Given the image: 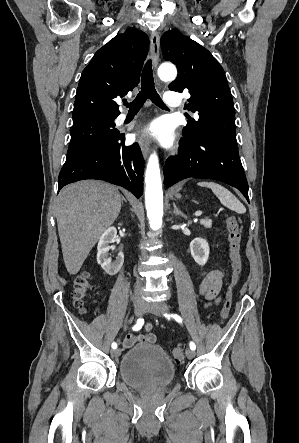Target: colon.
<instances>
[{"instance_id": "obj_1", "label": "colon", "mask_w": 299, "mask_h": 443, "mask_svg": "<svg viewBox=\"0 0 299 443\" xmlns=\"http://www.w3.org/2000/svg\"><path fill=\"white\" fill-rule=\"evenodd\" d=\"M226 228L228 230V242H229V256L231 260V265L233 269L231 288L225 296V300L220 312V322H224L231 311L233 302V288L238 284L242 268V256H241V238L242 231L238 220L235 216H229L226 219ZM91 289L90 276L87 272L79 274L74 282V288L72 291V297L74 305L81 312H84V300L87 297ZM185 347L183 345L176 346L172 355L177 361L181 360L184 355Z\"/></svg>"}]
</instances>
